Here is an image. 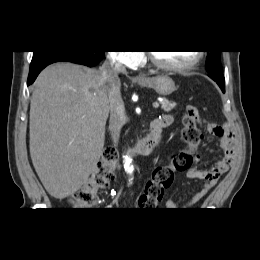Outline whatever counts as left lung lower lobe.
<instances>
[{
    "instance_id": "obj_1",
    "label": "left lung lower lobe",
    "mask_w": 260,
    "mask_h": 260,
    "mask_svg": "<svg viewBox=\"0 0 260 260\" xmlns=\"http://www.w3.org/2000/svg\"><path fill=\"white\" fill-rule=\"evenodd\" d=\"M209 76L216 81V83L219 85V87L221 88L222 92H225V78L224 76L221 75H210Z\"/></svg>"
}]
</instances>
